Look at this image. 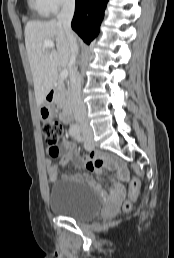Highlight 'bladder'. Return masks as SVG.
Returning <instances> with one entry per match:
<instances>
[{
	"mask_svg": "<svg viewBox=\"0 0 174 258\" xmlns=\"http://www.w3.org/2000/svg\"><path fill=\"white\" fill-rule=\"evenodd\" d=\"M49 208L57 215L77 220L96 217L102 209L98 192L72 175L58 178L50 191Z\"/></svg>",
	"mask_w": 174,
	"mask_h": 258,
	"instance_id": "31cf9c89",
	"label": "bladder"
}]
</instances>
